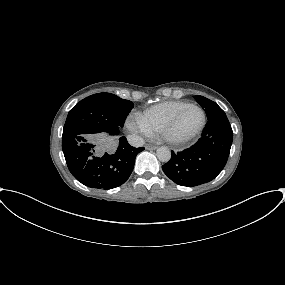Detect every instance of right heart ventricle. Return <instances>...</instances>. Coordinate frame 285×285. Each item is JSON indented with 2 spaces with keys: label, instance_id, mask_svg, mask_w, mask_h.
Instances as JSON below:
<instances>
[{
  "label": "right heart ventricle",
  "instance_id": "1",
  "mask_svg": "<svg viewBox=\"0 0 285 285\" xmlns=\"http://www.w3.org/2000/svg\"><path fill=\"white\" fill-rule=\"evenodd\" d=\"M188 102L169 100L158 103L142 113L137 114L143 124L152 132H161L163 127L184 107Z\"/></svg>",
  "mask_w": 285,
  "mask_h": 285
}]
</instances>
